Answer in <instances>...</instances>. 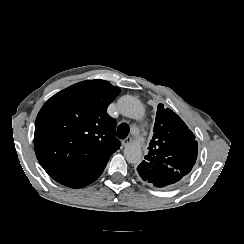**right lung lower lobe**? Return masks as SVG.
<instances>
[{
    "label": "right lung lower lobe",
    "mask_w": 244,
    "mask_h": 244,
    "mask_svg": "<svg viewBox=\"0 0 244 244\" xmlns=\"http://www.w3.org/2000/svg\"><path fill=\"white\" fill-rule=\"evenodd\" d=\"M106 166V165H105ZM101 168L98 172L95 173V176L91 178V180H87L85 182L80 181L78 179H72V180H68L63 182L62 184L71 188H80V187H85L87 185H89L90 183L94 182L103 172L104 168Z\"/></svg>",
    "instance_id": "obj_1"
}]
</instances>
